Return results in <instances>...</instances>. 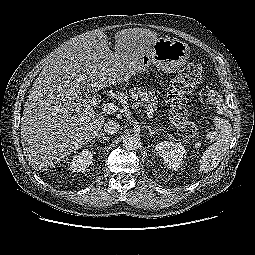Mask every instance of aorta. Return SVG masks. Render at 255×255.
<instances>
[{
  "label": "aorta",
  "mask_w": 255,
  "mask_h": 255,
  "mask_svg": "<svg viewBox=\"0 0 255 255\" xmlns=\"http://www.w3.org/2000/svg\"><path fill=\"white\" fill-rule=\"evenodd\" d=\"M140 140L133 134H128L123 139V146L126 150H136L139 147Z\"/></svg>",
  "instance_id": "aorta-1"
}]
</instances>
